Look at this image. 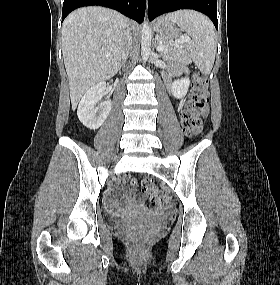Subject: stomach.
I'll return each instance as SVG.
<instances>
[{
  "label": "stomach",
  "instance_id": "0dacf381",
  "mask_svg": "<svg viewBox=\"0 0 280 285\" xmlns=\"http://www.w3.org/2000/svg\"><path fill=\"white\" fill-rule=\"evenodd\" d=\"M154 30L160 38L165 40L178 39L182 36V28L167 20L166 17H162L154 23Z\"/></svg>",
  "mask_w": 280,
  "mask_h": 285
}]
</instances>
